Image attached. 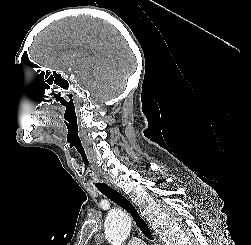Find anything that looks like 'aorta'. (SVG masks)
Listing matches in <instances>:
<instances>
[{
    "mask_svg": "<svg viewBox=\"0 0 251 245\" xmlns=\"http://www.w3.org/2000/svg\"><path fill=\"white\" fill-rule=\"evenodd\" d=\"M131 219L120 210L111 211L105 220V234L112 245H122L130 234Z\"/></svg>",
    "mask_w": 251,
    "mask_h": 245,
    "instance_id": "1",
    "label": "aorta"
}]
</instances>
